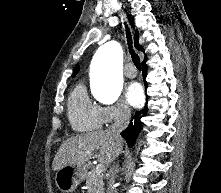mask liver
I'll return each mask as SVG.
<instances>
[{"label":"liver","mask_w":221,"mask_h":193,"mask_svg":"<svg viewBox=\"0 0 221 193\" xmlns=\"http://www.w3.org/2000/svg\"><path fill=\"white\" fill-rule=\"evenodd\" d=\"M122 146V138L116 140L109 129L71 137L61 144L52 168L57 171L64 165L84 166L97 150L100 151V164L109 165L118 156Z\"/></svg>","instance_id":"liver-1"}]
</instances>
